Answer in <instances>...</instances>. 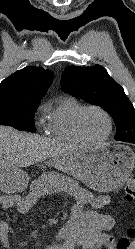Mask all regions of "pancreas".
I'll list each match as a JSON object with an SVG mask.
<instances>
[{"label": "pancreas", "mask_w": 135, "mask_h": 249, "mask_svg": "<svg viewBox=\"0 0 135 249\" xmlns=\"http://www.w3.org/2000/svg\"><path fill=\"white\" fill-rule=\"evenodd\" d=\"M66 192H68L69 194H73L78 196L79 194H81V190L72 186H66L65 187Z\"/></svg>", "instance_id": "cf45deb5"}]
</instances>
